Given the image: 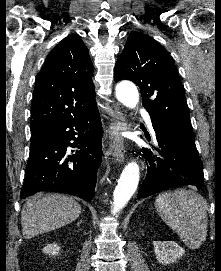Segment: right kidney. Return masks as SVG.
Listing matches in <instances>:
<instances>
[{
    "mask_svg": "<svg viewBox=\"0 0 221 271\" xmlns=\"http://www.w3.org/2000/svg\"><path fill=\"white\" fill-rule=\"evenodd\" d=\"M61 247L57 245V243H47L45 247H43V253H47V255H58Z\"/></svg>",
    "mask_w": 221,
    "mask_h": 271,
    "instance_id": "obj_1",
    "label": "right kidney"
}]
</instances>
